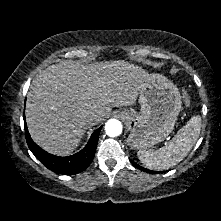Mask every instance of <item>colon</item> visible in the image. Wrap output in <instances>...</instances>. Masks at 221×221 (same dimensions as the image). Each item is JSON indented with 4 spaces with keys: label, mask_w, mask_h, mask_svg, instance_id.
Returning a JSON list of instances; mask_svg holds the SVG:
<instances>
[{
    "label": "colon",
    "mask_w": 221,
    "mask_h": 221,
    "mask_svg": "<svg viewBox=\"0 0 221 221\" xmlns=\"http://www.w3.org/2000/svg\"><path fill=\"white\" fill-rule=\"evenodd\" d=\"M183 96H184V99L186 101V104L189 106L190 105V99H189L188 94L185 91L183 93Z\"/></svg>",
    "instance_id": "1"
}]
</instances>
